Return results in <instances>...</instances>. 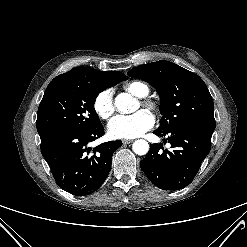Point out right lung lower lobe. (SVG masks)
Segmentation results:
<instances>
[{
    "mask_svg": "<svg viewBox=\"0 0 247 247\" xmlns=\"http://www.w3.org/2000/svg\"><path fill=\"white\" fill-rule=\"evenodd\" d=\"M103 135L101 124L91 130H66L41 138V153L61 188L76 196L100 188L111 168L112 155L122 144L117 140L91 149L90 142Z\"/></svg>",
    "mask_w": 247,
    "mask_h": 247,
    "instance_id": "right-lung-lower-lobe-1",
    "label": "right lung lower lobe"
}]
</instances>
